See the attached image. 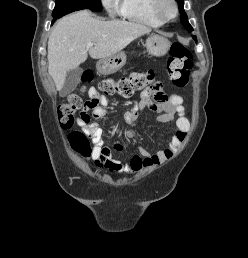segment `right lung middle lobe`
I'll return each mask as SVG.
<instances>
[{
	"label": "right lung middle lobe",
	"instance_id": "dd1d6c3e",
	"mask_svg": "<svg viewBox=\"0 0 248 258\" xmlns=\"http://www.w3.org/2000/svg\"><path fill=\"white\" fill-rule=\"evenodd\" d=\"M82 9L100 12L102 10L101 0H56L52 13L53 21L66 14Z\"/></svg>",
	"mask_w": 248,
	"mask_h": 258
}]
</instances>
